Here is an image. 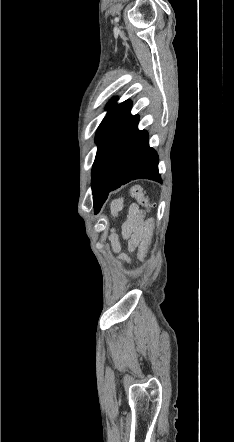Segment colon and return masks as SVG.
<instances>
[{
  "mask_svg": "<svg viewBox=\"0 0 234 442\" xmlns=\"http://www.w3.org/2000/svg\"><path fill=\"white\" fill-rule=\"evenodd\" d=\"M131 193L132 195L135 197V199L146 209L151 210L153 205L151 204L149 198L147 197V195L145 194V192L143 191L142 187L139 185H134L131 187ZM152 226H153V222L152 220H149L147 222V232H146V244L149 241L150 238V234H151V230H152ZM146 244L145 247L143 248V251H145L146 248ZM138 259L140 260L141 264H146L147 263V258L143 255L140 254L138 256Z\"/></svg>",
  "mask_w": 234,
  "mask_h": 442,
  "instance_id": "1",
  "label": "colon"
}]
</instances>
